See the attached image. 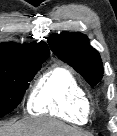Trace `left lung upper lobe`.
Returning <instances> with one entry per match:
<instances>
[{
    "label": "left lung upper lobe",
    "mask_w": 117,
    "mask_h": 136,
    "mask_svg": "<svg viewBox=\"0 0 117 136\" xmlns=\"http://www.w3.org/2000/svg\"><path fill=\"white\" fill-rule=\"evenodd\" d=\"M48 43L55 55L80 73L89 85L94 87L101 81L104 72L101 57L85 35L54 34L48 38Z\"/></svg>",
    "instance_id": "obj_1"
}]
</instances>
